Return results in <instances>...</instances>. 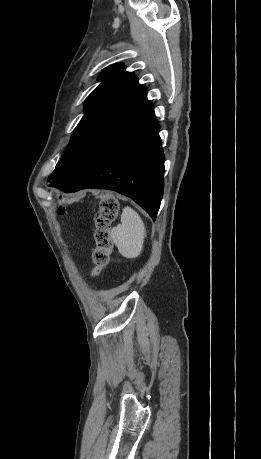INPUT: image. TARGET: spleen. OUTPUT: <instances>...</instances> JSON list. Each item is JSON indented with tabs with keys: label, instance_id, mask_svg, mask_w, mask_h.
<instances>
[{
	"label": "spleen",
	"instance_id": "1",
	"mask_svg": "<svg viewBox=\"0 0 261 459\" xmlns=\"http://www.w3.org/2000/svg\"><path fill=\"white\" fill-rule=\"evenodd\" d=\"M111 236L120 254L128 259L136 258L143 249L145 225L140 215L126 206L121 215V224L112 228Z\"/></svg>",
	"mask_w": 261,
	"mask_h": 459
}]
</instances>
